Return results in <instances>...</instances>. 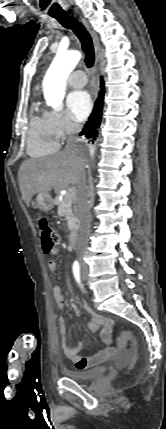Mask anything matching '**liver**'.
I'll list each match as a JSON object with an SVG mask.
<instances>
[{
	"mask_svg": "<svg viewBox=\"0 0 166 429\" xmlns=\"http://www.w3.org/2000/svg\"><path fill=\"white\" fill-rule=\"evenodd\" d=\"M82 152L63 150L53 156L25 160L18 172L22 199L27 206L37 193H48L52 189L60 192L70 185L76 186L85 167Z\"/></svg>",
	"mask_w": 166,
	"mask_h": 429,
	"instance_id": "1",
	"label": "liver"
}]
</instances>
